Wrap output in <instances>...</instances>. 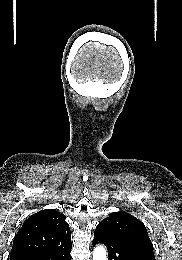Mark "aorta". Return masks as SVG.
I'll return each instance as SVG.
<instances>
[{"label":"aorta","instance_id":"1","mask_svg":"<svg viewBox=\"0 0 182 260\" xmlns=\"http://www.w3.org/2000/svg\"><path fill=\"white\" fill-rule=\"evenodd\" d=\"M92 260H107L106 248L102 245H98L94 248Z\"/></svg>","mask_w":182,"mask_h":260}]
</instances>
